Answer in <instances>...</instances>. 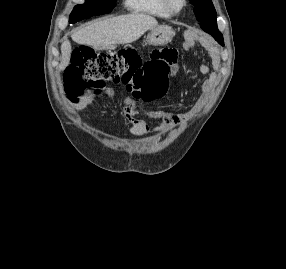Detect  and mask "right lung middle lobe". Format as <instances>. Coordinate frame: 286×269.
Wrapping results in <instances>:
<instances>
[{"label": "right lung middle lobe", "instance_id": "dd1d6c3e", "mask_svg": "<svg viewBox=\"0 0 286 269\" xmlns=\"http://www.w3.org/2000/svg\"><path fill=\"white\" fill-rule=\"evenodd\" d=\"M85 4L76 5L70 14L69 22L74 24L84 18L109 13L116 0H85Z\"/></svg>", "mask_w": 286, "mask_h": 269}]
</instances>
